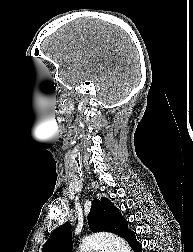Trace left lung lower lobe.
<instances>
[{
  "mask_svg": "<svg viewBox=\"0 0 193 252\" xmlns=\"http://www.w3.org/2000/svg\"><path fill=\"white\" fill-rule=\"evenodd\" d=\"M126 240L129 242L134 252H141V245L137 242L134 233L131 231L127 236Z\"/></svg>",
  "mask_w": 193,
  "mask_h": 252,
  "instance_id": "obj_1",
  "label": "left lung lower lobe"
}]
</instances>
